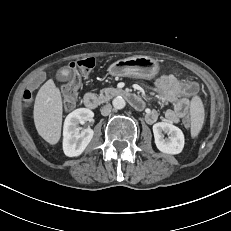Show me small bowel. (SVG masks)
<instances>
[{
  "instance_id": "obj_1",
  "label": "small bowel",
  "mask_w": 231,
  "mask_h": 231,
  "mask_svg": "<svg viewBox=\"0 0 231 231\" xmlns=\"http://www.w3.org/2000/svg\"><path fill=\"white\" fill-rule=\"evenodd\" d=\"M182 83L173 75H163L155 83V90L159 99L172 106L164 113V119L172 124L179 123L186 118L190 109V100L178 90ZM159 113L154 109H148L145 113V120L149 124L155 123Z\"/></svg>"
}]
</instances>
